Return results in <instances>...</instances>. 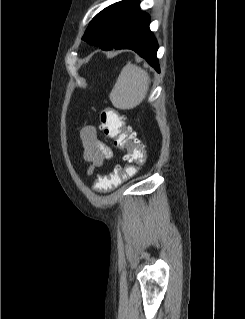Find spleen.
Here are the masks:
<instances>
[{
  "instance_id": "obj_1",
  "label": "spleen",
  "mask_w": 245,
  "mask_h": 319,
  "mask_svg": "<svg viewBox=\"0 0 245 319\" xmlns=\"http://www.w3.org/2000/svg\"><path fill=\"white\" fill-rule=\"evenodd\" d=\"M150 83L147 71L129 62L122 69L110 93V100L116 108L133 109L146 98Z\"/></svg>"
}]
</instances>
